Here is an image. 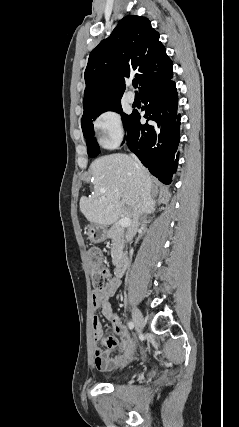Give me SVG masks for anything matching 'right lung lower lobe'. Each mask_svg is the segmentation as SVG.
Returning <instances> with one entry per match:
<instances>
[{"label": "right lung lower lobe", "mask_w": 239, "mask_h": 427, "mask_svg": "<svg viewBox=\"0 0 239 427\" xmlns=\"http://www.w3.org/2000/svg\"><path fill=\"white\" fill-rule=\"evenodd\" d=\"M172 77L173 71L140 91L144 117L152 122L142 125L140 114L132 113L126 126L129 149L164 184L171 183L179 157L181 115Z\"/></svg>", "instance_id": "98d812e1"}]
</instances>
